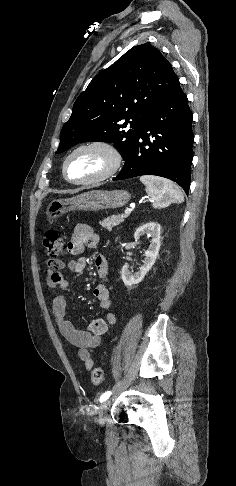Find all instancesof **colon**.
<instances>
[{
    "instance_id": "obj_1",
    "label": "colon",
    "mask_w": 236,
    "mask_h": 486,
    "mask_svg": "<svg viewBox=\"0 0 236 486\" xmlns=\"http://www.w3.org/2000/svg\"><path fill=\"white\" fill-rule=\"evenodd\" d=\"M44 246L49 258L56 259L64 249V241L56 231H49L43 239ZM103 370L101 367H95L91 372V380L94 385H100L103 382Z\"/></svg>"
}]
</instances>
